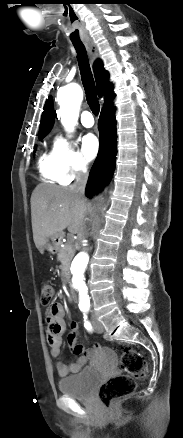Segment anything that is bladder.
I'll return each instance as SVG.
<instances>
[{"label": "bladder", "instance_id": "obj_1", "mask_svg": "<svg viewBox=\"0 0 183 438\" xmlns=\"http://www.w3.org/2000/svg\"><path fill=\"white\" fill-rule=\"evenodd\" d=\"M99 381V373L93 368H86L74 376L60 379L58 389L63 395L88 399Z\"/></svg>", "mask_w": 183, "mask_h": 438}]
</instances>
